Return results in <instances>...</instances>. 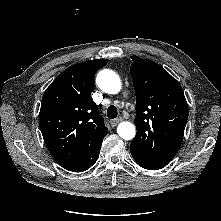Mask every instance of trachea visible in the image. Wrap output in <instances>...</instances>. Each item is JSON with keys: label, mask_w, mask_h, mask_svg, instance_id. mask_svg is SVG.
I'll return each instance as SVG.
<instances>
[{"label": "trachea", "mask_w": 221, "mask_h": 221, "mask_svg": "<svg viewBox=\"0 0 221 221\" xmlns=\"http://www.w3.org/2000/svg\"><path fill=\"white\" fill-rule=\"evenodd\" d=\"M117 115H118L117 108L114 105L109 106L108 109H107L108 118L114 119V118L117 117Z\"/></svg>", "instance_id": "1"}]
</instances>
